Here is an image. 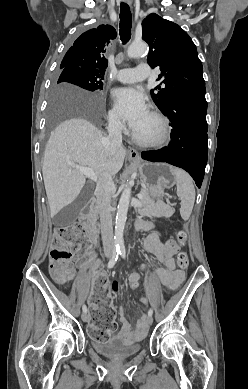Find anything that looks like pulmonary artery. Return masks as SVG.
<instances>
[{
	"mask_svg": "<svg viewBox=\"0 0 248 389\" xmlns=\"http://www.w3.org/2000/svg\"><path fill=\"white\" fill-rule=\"evenodd\" d=\"M151 75L150 66L147 63H140L136 68L121 69L116 79L122 83H134L148 79Z\"/></svg>",
	"mask_w": 248,
	"mask_h": 389,
	"instance_id": "obj_1",
	"label": "pulmonary artery"
}]
</instances>
